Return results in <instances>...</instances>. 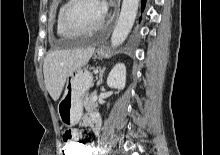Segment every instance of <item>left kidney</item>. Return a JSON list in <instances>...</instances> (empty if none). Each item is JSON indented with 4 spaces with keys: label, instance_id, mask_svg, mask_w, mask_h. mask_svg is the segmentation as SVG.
Masks as SVG:
<instances>
[{
    "label": "left kidney",
    "instance_id": "obj_1",
    "mask_svg": "<svg viewBox=\"0 0 220 155\" xmlns=\"http://www.w3.org/2000/svg\"><path fill=\"white\" fill-rule=\"evenodd\" d=\"M126 84V67L123 63L116 64L107 78V85L114 89H124Z\"/></svg>",
    "mask_w": 220,
    "mask_h": 155
}]
</instances>
